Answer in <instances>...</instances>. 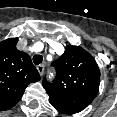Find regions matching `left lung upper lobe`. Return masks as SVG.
<instances>
[{
    "mask_svg": "<svg viewBox=\"0 0 117 117\" xmlns=\"http://www.w3.org/2000/svg\"><path fill=\"white\" fill-rule=\"evenodd\" d=\"M52 66L55 79H43L51 105L64 106L74 113L85 109L99 90L100 70L95 59L81 47L68 45Z\"/></svg>",
    "mask_w": 117,
    "mask_h": 117,
    "instance_id": "obj_1",
    "label": "left lung upper lobe"
}]
</instances>
